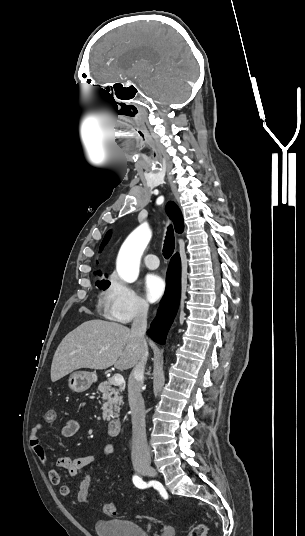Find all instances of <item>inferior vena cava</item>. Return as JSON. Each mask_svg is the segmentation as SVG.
Segmentation results:
<instances>
[{
    "label": "inferior vena cava",
    "mask_w": 305,
    "mask_h": 536,
    "mask_svg": "<svg viewBox=\"0 0 305 536\" xmlns=\"http://www.w3.org/2000/svg\"><path fill=\"white\" fill-rule=\"evenodd\" d=\"M148 306H139L131 326V332L140 338L143 344L142 358L133 368L128 380V400L132 416L133 446L132 458L141 462H150V452L146 438L145 406L141 396L145 364L148 358V348L144 340L147 328Z\"/></svg>",
    "instance_id": "obj_1"
}]
</instances>
